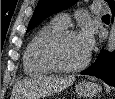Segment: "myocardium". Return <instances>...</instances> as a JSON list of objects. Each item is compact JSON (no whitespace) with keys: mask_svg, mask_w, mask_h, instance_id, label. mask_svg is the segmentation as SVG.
Segmentation results:
<instances>
[{"mask_svg":"<svg viewBox=\"0 0 115 99\" xmlns=\"http://www.w3.org/2000/svg\"><path fill=\"white\" fill-rule=\"evenodd\" d=\"M78 35L76 31L71 29H63L52 36H50L42 47V56L45 62L54 70L59 72H76L85 68L89 61L90 55L87 54L86 58L78 65L67 66L62 64L57 57V48L60 43L70 36Z\"/></svg>","mask_w":115,"mask_h":99,"instance_id":"myocardium-1","label":"myocardium"}]
</instances>
